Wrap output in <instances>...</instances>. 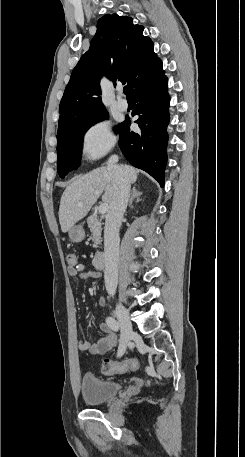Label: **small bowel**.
Wrapping results in <instances>:
<instances>
[{"instance_id":"obj_1","label":"small bowel","mask_w":245,"mask_h":457,"mask_svg":"<svg viewBox=\"0 0 245 457\" xmlns=\"http://www.w3.org/2000/svg\"><path fill=\"white\" fill-rule=\"evenodd\" d=\"M68 273L71 277H80L81 279H97L99 278L98 272L92 270H84L81 267L68 268ZM99 305L104 306L106 304V298L100 297ZM100 330L104 333V336L99 339L96 343H90L84 338L78 340V348L92 356L101 355L111 351L117 344V335L111 331V328L107 323H101L99 325Z\"/></svg>"}]
</instances>
